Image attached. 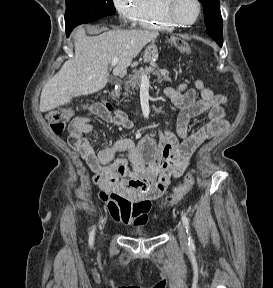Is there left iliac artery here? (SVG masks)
<instances>
[{
  "label": "left iliac artery",
  "mask_w": 273,
  "mask_h": 288,
  "mask_svg": "<svg viewBox=\"0 0 273 288\" xmlns=\"http://www.w3.org/2000/svg\"><path fill=\"white\" fill-rule=\"evenodd\" d=\"M182 222H183V225L186 228V232H187V235H188V246L190 248H194V241H193L191 233H190L189 219L187 218L186 215H182Z\"/></svg>",
  "instance_id": "obj_1"
}]
</instances>
